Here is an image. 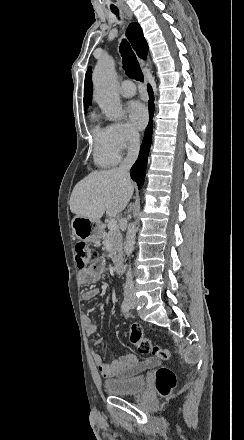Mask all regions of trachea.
<instances>
[{"mask_svg":"<svg viewBox=\"0 0 244 440\" xmlns=\"http://www.w3.org/2000/svg\"><path fill=\"white\" fill-rule=\"evenodd\" d=\"M111 11L115 15L119 16V10L117 8H112ZM120 53L123 60V68L126 74L129 77L134 78V80L143 82L144 77L137 58L126 40H123L120 44Z\"/></svg>","mask_w":244,"mask_h":440,"instance_id":"obj_1","label":"trachea"}]
</instances>
